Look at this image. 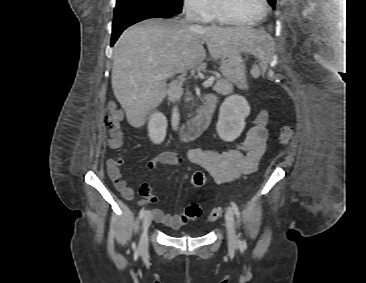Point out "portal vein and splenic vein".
<instances>
[{"instance_id":"18ae733b","label":"portal vein and splenic vein","mask_w":366,"mask_h":283,"mask_svg":"<svg viewBox=\"0 0 366 283\" xmlns=\"http://www.w3.org/2000/svg\"><path fill=\"white\" fill-rule=\"evenodd\" d=\"M173 77V75H161L160 78L162 79H167V78H171ZM215 81V78L213 76L209 77L206 81L203 82V86L204 87H209L211 86Z\"/></svg>"}]
</instances>
